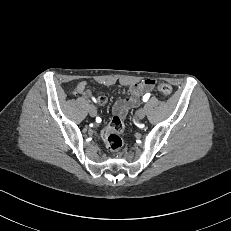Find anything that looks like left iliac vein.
Here are the masks:
<instances>
[{"instance_id":"4c4485c4","label":"left iliac vein","mask_w":231,"mask_h":231,"mask_svg":"<svg viewBox=\"0 0 231 231\" xmlns=\"http://www.w3.org/2000/svg\"><path fill=\"white\" fill-rule=\"evenodd\" d=\"M145 115H146V112L143 108L138 110V112H137V118L138 119H140V120L144 119Z\"/></svg>"}]
</instances>
